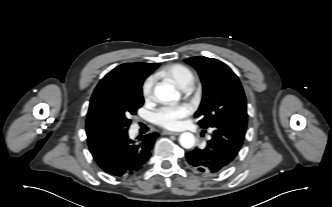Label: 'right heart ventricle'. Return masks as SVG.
Returning a JSON list of instances; mask_svg holds the SVG:
<instances>
[{
    "label": "right heart ventricle",
    "mask_w": 332,
    "mask_h": 207,
    "mask_svg": "<svg viewBox=\"0 0 332 207\" xmlns=\"http://www.w3.org/2000/svg\"><path fill=\"white\" fill-rule=\"evenodd\" d=\"M159 75L171 80L176 86L183 90L188 89L194 80L192 70L188 66L180 63L165 66L160 70Z\"/></svg>",
    "instance_id": "1"
}]
</instances>
